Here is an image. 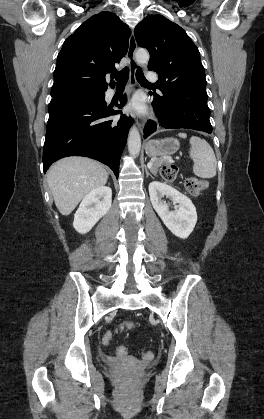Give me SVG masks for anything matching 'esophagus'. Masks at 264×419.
Returning a JSON list of instances; mask_svg holds the SVG:
<instances>
[{"label": "esophagus", "instance_id": "obj_1", "mask_svg": "<svg viewBox=\"0 0 264 419\" xmlns=\"http://www.w3.org/2000/svg\"><path fill=\"white\" fill-rule=\"evenodd\" d=\"M137 50V42L134 36V33L132 32L131 37L129 39V47H128V52H127V57H128V67H129V72H130V80H129V86L130 87H134L136 85L135 82V73L137 70V62L135 60V52ZM134 121L137 124L138 128L140 129V131H143L144 128V121L142 118H140L137 115H133Z\"/></svg>", "mask_w": 264, "mask_h": 419}]
</instances>
